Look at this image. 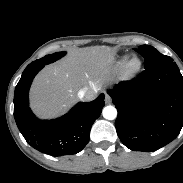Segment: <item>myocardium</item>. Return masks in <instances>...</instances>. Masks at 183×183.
Masks as SVG:
<instances>
[{
	"label": "myocardium",
	"instance_id": "obj_1",
	"mask_svg": "<svg viewBox=\"0 0 183 183\" xmlns=\"http://www.w3.org/2000/svg\"><path fill=\"white\" fill-rule=\"evenodd\" d=\"M141 67L142 62L140 58L137 55H132L127 61L125 73L128 77H133L140 72Z\"/></svg>",
	"mask_w": 183,
	"mask_h": 183
}]
</instances>
